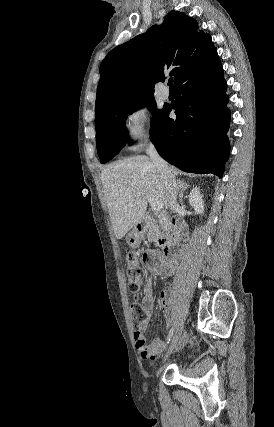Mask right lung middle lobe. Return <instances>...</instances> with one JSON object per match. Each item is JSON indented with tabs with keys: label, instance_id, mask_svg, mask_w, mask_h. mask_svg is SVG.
<instances>
[{
	"label": "right lung middle lobe",
	"instance_id": "right-lung-middle-lobe-1",
	"mask_svg": "<svg viewBox=\"0 0 274 427\" xmlns=\"http://www.w3.org/2000/svg\"><path fill=\"white\" fill-rule=\"evenodd\" d=\"M147 106L155 115L152 126L164 109L158 110L153 95H141L119 101L95 114L96 145L101 163L110 161L125 146L128 114Z\"/></svg>",
	"mask_w": 274,
	"mask_h": 427
}]
</instances>
